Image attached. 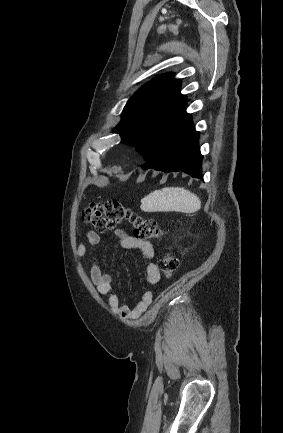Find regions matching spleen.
Segmentation results:
<instances>
[{"label": "spleen", "instance_id": "3e777b00", "mask_svg": "<svg viewBox=\"0 0 283 433\" xmlns=\"http://www.w3.org/2000/svg\"><path fill=\"white\" fill-rule=\"evenodd\" d=\"M141 208L145 212H168V210H177V212H195L201 208L199 196L180 188V186H166L161 190H153L144 198H141Z\"/></svg>", "mask_w": 283, "mask_h": 433}]
</instances>
